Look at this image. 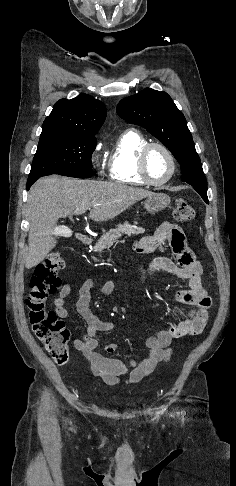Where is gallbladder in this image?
<instances>
[{"label": "gallbladder", "instance_id": "bac80fb5", "mask_svg": "<svg viewBox=\"0 0 236 486\" xmlns=\"http://www.w3.org/2000/svg\"><path fill=\"white\" fill-rule=\"evenodd\" d=\"M58 230H60V231H61V230H62V227H58Z\"/></svg>", "mask_w": 236, "mask_h": 486}]
</instances>
